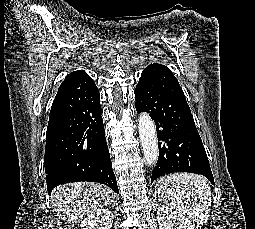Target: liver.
<instances>
[{
    "mask_svg": "<svg viewBox=\"0 0 255 229\" xmlns=\"http://www.w3.org/2000/svg\"><path fill=\"white\" fill-rule=\"evenodd\" d=\"M110 193L108 187L94 182L68 184L55 189L53 206L62 212L63 218L76 223L84 215L106 206Z\"/></svg>",
    "mask_w": 255,
    "mask_h": 229,
    "instance_id": "obj_1",
    "label": "liver"
}]
</instances>
